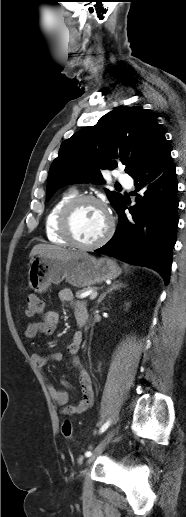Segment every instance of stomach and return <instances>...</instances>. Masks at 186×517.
Wrapping results in <instances>:
<instances>
[{"label": "stomach", "mask_w": 186, "mask_h": 517, "mask_svg": "<svg viewBox=\"0 0 186 517\" xmlns=\"http://www.w3.org/2000/svg\"><path fill=\"white\" fill-rule=\"evenodd\" d=\"M121 273L110 258L96 259L83 255L71 259L38 256L32 258L28 272L29 286L35 292H45L51 283L66 280L74 287H86L106 280H113Z\"/></svg>", "instance_id": "1"}]
</instances>
